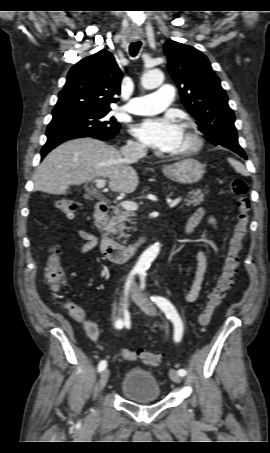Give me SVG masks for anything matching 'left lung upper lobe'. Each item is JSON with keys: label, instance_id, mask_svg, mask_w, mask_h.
<instances>
[{"label": "left lung upper lobe", "instance_id": "5c2ea615", "mask_svg": "<svg viewBox=\"0 0 270 453\" xmlns=\"http://www.w3.org/2000/svg\"><path fill=\"white\" fill-rule=\"evenodd\" d=\"M168 71L180 88L186 109L198 120L199 130L213 145L240 147L235 116L220 80L207 57L197 49L169 40L164 45Z\"/></svg>", "mask_w": 270, "mask_h": 453}]
</instances>
